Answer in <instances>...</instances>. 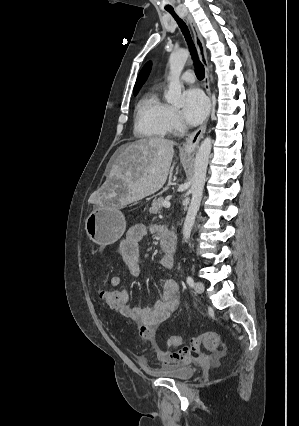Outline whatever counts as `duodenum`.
I'll use <instances>...</instances> for the list:
<instances>
[{"mask_svg": "<svg viewBox=\"0 0 299 426\" xmlns=\"http://www.w3.org/2000/svg\"><path fill=\"white\" fill-rule=\"evenodd\" d=\"M161 248L163 252L170 258L174 257L176 252V237L175 234L168 230L163 229L161 232V240H160Z\"/></svg>", "mask_w": 299, "mask_h": 426, "instance_id": "410a0bca", "label": "duodenum"}]
</instances>
